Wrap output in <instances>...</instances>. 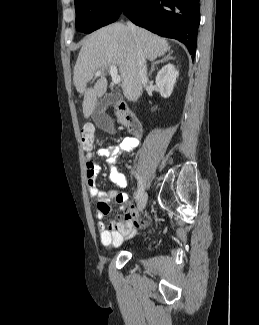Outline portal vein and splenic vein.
<instances>
[{"label":"portal vein and splenic vein","mask_w":259,"mask_h":325,"mask_svg":"<svg viewBox=\"0 0 259 325\" xmlns=\"http://www.w3.org/2000/svg\"><path fill=\"white\" fill-rule=\"evenodd\" d=\"M109 71H110V75L112 77V82L114 84H119L121 82V77L118 75L117 66L111 65L109 67ZM101 74H102V72L100 70L95 72V76H97V77L101 76Z\"/></svg>","instance_id":"obj_1"}]
</instances>
